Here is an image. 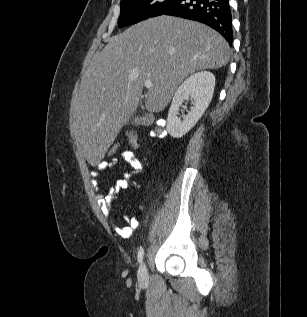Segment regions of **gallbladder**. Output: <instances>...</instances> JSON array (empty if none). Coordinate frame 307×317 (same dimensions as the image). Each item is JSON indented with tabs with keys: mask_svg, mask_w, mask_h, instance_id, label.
I'll return each instance as SVG.
<instances>
[{
	"mask_svg": "<svg viewBox=\"0 0 307 317\" xmlns=\"http://www.w3.org/2000/svg\"><path fill=\"white\" fill-rule=\"evenodd\" d=\"M133 124H139L140 123V118L139 117H135L134 119H133V122H132Z\"/></svg>",
	"mask_w": 307,
	"mask_h": 317,
	"instance_id": "gallbladder-1",
	"label": "gallbladder"
}]
</instances>
